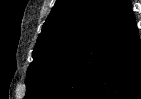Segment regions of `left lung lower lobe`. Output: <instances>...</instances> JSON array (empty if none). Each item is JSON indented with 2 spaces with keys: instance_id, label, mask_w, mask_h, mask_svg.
Here are the masks:
<instances>
[{
  "instance_id": "1",
  "label": "left lung lower lobe",
  "mask_w": 141,
  "mask_h": 99,
  "mask_svg": "<svg viewBox=\"0 0 141 99\" xmlns=\"http://www.w3.org/2000/svg\"><path fill=\"white\" fill-rule=\"evenodd\" d=\"M37 99H141V41L122 0Z\"/></svg>"
}]
</instances>
